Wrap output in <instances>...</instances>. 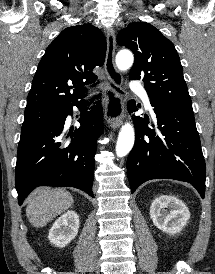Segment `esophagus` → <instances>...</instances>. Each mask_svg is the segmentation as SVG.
Listing matches in <instances>:
<instances>
[{"label": "esophagus", "mask_w": 215, "mask_h": 274, "mask_svg": "<svg viewBox=\"0 0 215 274\" xmlns=\"http://www.w3.org/2000/svg\"><path fill=\"white\" fill-rule=\"evenodd\" d=\"M115 34L113 31L107 33V52L105 60V69L110 81L115 87L121 88L122 77L114 63L115 56ZM105 119L109 126L116 128L122 123L124 114V100L122 96L111 86L105 87Z\"/></svg>", "instance_id": "esophagus-1"}]
</instances>
